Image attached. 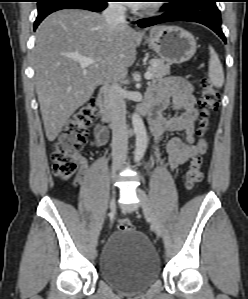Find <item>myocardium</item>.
<instances>
[{"label":"myocardium","instance_id":"obj_1","mask_svg":"<svg viewBox=\"0 0 248 299\" xmlns=\"http://www.w3.org/2000/svg\"><path fill=\"white\" fill-rule=\"evenodd\" d=\"M161 8H162V3H152L151 5H149L144 9V12L147 15H153L157 13Z\"/></svg>","mask_w":248,"mask_h":299}]
</instances>
